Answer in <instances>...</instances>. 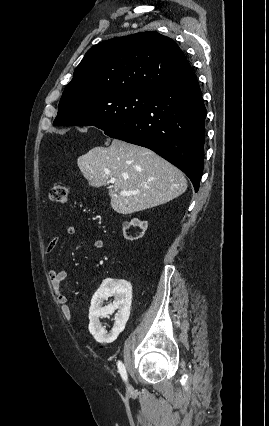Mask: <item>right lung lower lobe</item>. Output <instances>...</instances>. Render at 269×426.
<instances>
[{"label": "right lung lower lobe", "instance_id": "98d812e1", "mask_svg": "<svg viewBox=\"0 0 269 426\" xmlns=\"http://www.w3.org/2000/svg\"><path fill=\"white\" fill-rule=\"evenodd\" d=\"M137 116L104 133L149 148L181 169L195 191L203 172L206 108L195 73L155 88Z\"/></svg>", "mask_w": 269, "mask_h": 426}]
</instances>
